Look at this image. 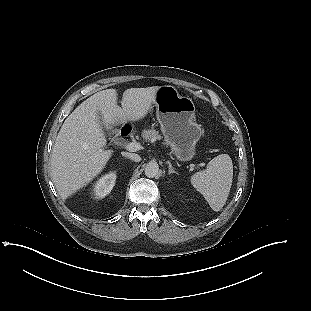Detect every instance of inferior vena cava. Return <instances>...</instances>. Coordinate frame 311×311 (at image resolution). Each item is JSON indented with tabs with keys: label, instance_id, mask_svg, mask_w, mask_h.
<instances>
[{
	"label": "inferior vena cava",
	"instance_id": "602c4592",
	"mask_svg": "<svg viewBox=\"0 0 311 311\" xmlns=\"http://www.w3.org/2000/svg\"><path fill=\"white\" fill-rule=\"evenodd\" d=\"M127 156L135 161V162H140L141 161V157L138 155V154H135V153H127Z\"/></svg>",
	"mask_w": 311,
	"mask_h": 311
}]
</instances>
